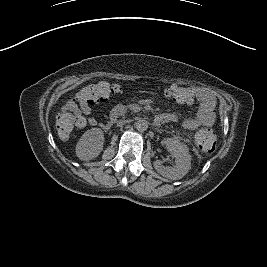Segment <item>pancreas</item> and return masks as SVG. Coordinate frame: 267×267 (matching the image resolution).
I'll return each mask as SVG.
<instances>
[{"label": "pancreas", "mask_w": 267, "mask_h": 267, "mask_svg": "<svg viewBox=\"0 0 267 267\" xmlns=\"http://www.w3.org/2000/svg\"><path fill=\"white\" fill-rule=\"evenodd\" d=\"M130 109H131V110H135V106H134V105L131 106Z\"/></svg>", "instance_id": "pancreas-1"}]
</instances>
